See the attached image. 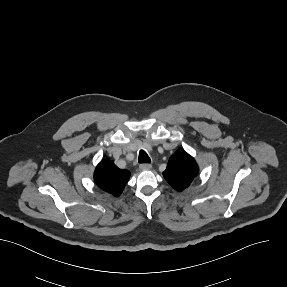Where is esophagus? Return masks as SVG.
I'll return each instance as SVG.
<instances>
[{
    "mask_svg": "<svg viewBox=\"0 0 287 287\" xmlns=\"http://www.w3.org/2000/svg\"><path fill=\"white\" fill-rule=\"evenodd\" d=\"M139 167L141 170H149L152 168V165L148 163H143V164H140Z\"/></svg>",
    "mask_w": 287,
    "mask_h": 287,
    "instance_id": "obj_1",
    "label": "esophagus"
}]
</instances>
